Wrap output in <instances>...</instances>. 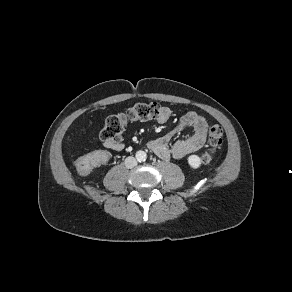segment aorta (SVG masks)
I'll list each match as a JSON object with an SVG mask.
<instances>
[{"label": "aorta", "instance_id": "1", "mask_svg": "<svg viewBox=\"0 0 292 292\" xmlns=\"http://www.w3.org/2000/svg\"><path fill=\"white\" fill-rule=\"evenodd\" d=\"M136 158L139 162L145 161L147 158V154H146V152H144L142 150L137 151Z\"/></svg>", "mask_w": 292, "mask_h": 292}]
</instances>
